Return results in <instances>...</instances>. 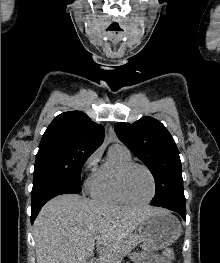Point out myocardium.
Instances as JSON below:
<instances>
[{
  "mask_svg": "<svg viewBox=\"0 0 220 263\" xmlns=\"http://www.w3.org/2000/svg\"><path fill=\"white\" fill-rule=\"evenodd\" d=\"M135 167H140L142 169H144L150 179H151V182H152V192H151V195L146 199V200H143V201H134L132 200L126 193V190H125V178H126V175L128 174V172L135 168ZM116 187H117V191H118V194L120 195V197L123 199V201L125 203H128V204H131V205H145V204H148L150 203L153 198L155 197V194H156V189H157V184H156V178L153 174V172L144 164L142 163H138V162H128L126 164H124L123 166H121L117 172V177H116Z\"/></svg>",
  "mask_w": 220,
  "mask_h": 263,
  "instance_id": "myocardium-1",
  "label": "myocardium"
}]
</instances>
